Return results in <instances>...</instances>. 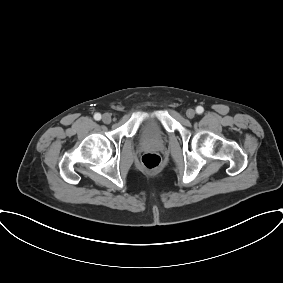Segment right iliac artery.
I'll list each match as a JSON object with an SVG mask.
<instances>
[{
    "label": "right iliac artery",
    "instance_id": "82829eb1",
    "mask_svg": "<svg viewBox=\"0 0 283 283\" xmlns=\"http://www.w3.org/2000/svg\"><path fill=\"white\" fill-rule=\"evenodd\" d=\"M94 119H95V120H100V119H101V114H100V113H96V114L94 115Z\"/></svg>",
    "mask_w": 283,
    "mask_h": 283
}]
</instances>
